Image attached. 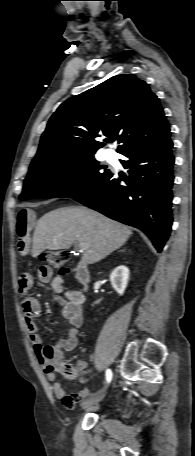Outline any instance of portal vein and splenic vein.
Instances as JSON below:
<instances>
[{"mask_svg":"<svg viewBox=\"0 0 195 456\" xmlns=\"http://www.w3.org/2000/svg\"><path fill=\"white\" fill-rule=\"evenodd\" d=\"M79 248H80V251H84L86 249V245L81 243Z\"/></svg>","mask_w":195,"mask_h":456,"instance_id":"1","label":"portal vein and splenic vein"}]
</instances>
